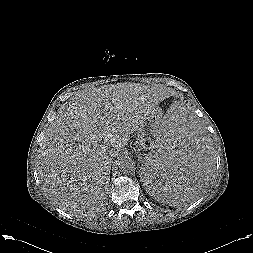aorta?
I'll use <instances>...</instances> for the list:
<instances>
[{
	"mask_svg": "<svg viewBox=\"0 0 253 253\" xmlns=\"http://www.w3.org/2000/svg\"><path fill=\"white\" fill-rule=\"evenodd\" d=\"M119 170L122 173H130L135 168L134 160L129 156H124L120 159L119 163Z\"/></svg>",
	"mask_w": 253,
	"mask_h": 253,
	"instance_id": "762f6f07",
	"label": "aorta"
}]
</instances>
